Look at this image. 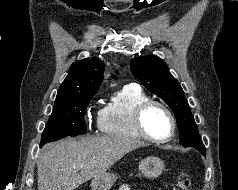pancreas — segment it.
Masks as SVG:
<instances>
[{
    "instance_id": "1",
    "label": "pancreas",
    "mask_w": 238,
    "mask_h": 190,
    "mask_svg": "<svg viewBox=\"0 0 238 190\" xmlns=\"http://www.w3.org/2000/svg\"><path fill=\"white\" fill-rule=\"evenodd\" d=\"M118 190H130V187H129V185H125V184H123V185H121L120 187H119V189Z\"/></svg>"
}]
</instances>
